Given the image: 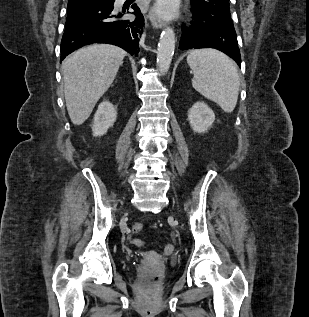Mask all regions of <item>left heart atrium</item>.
Listing matches in <instances>:
<instances>
[{"label":"left heart atrium","instance_id":"39dd6f15","mask_svg":"<svg viewBox=\"0 0 309 317\" xmlns=\"http://www.w3.org/2000/svg\"><path fill=\"white\" fill-rule=\"evenodd\" d=\"M156 12L164 17H172L176 14V5L174 0H158Z\"/></svg>","mask_w":309,"mask_h":317}]
</instances>
